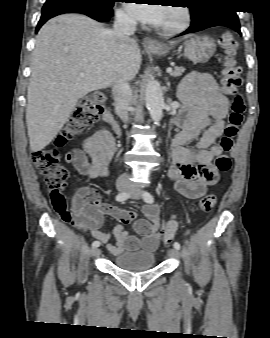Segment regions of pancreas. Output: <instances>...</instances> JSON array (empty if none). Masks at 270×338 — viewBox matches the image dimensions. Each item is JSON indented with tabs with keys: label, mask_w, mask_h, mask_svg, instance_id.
<instances>
[{
	"label": "pancreas",
	"mask_w": 270,
	"mask_h": 338,
	"mask_svg": "<svg viewBox=\"0 0 270 338\" xmlns=\"http://www.w3.org/2000/svg\"><path fill=\"white\" fill-rule=\"evenodd\" d=\"M184 72H185V68L184 67H175L174 71H172L170 73V75L172 77H178V76H181L182 73H184Z\"/></svg>",
	"instance_id": "obj_1"
}]
</instances>
